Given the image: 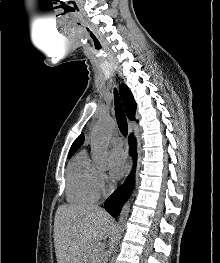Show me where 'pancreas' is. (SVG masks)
Segmentation results:
<instances>
[{
  "label": "pancreas",
  "instance_id": "cf45deb5",
  "mask_svg": "<svg viewBox=\"0 0 220 263\" xmlns=\"http://www.w3.org/2000/svg\"><path fill=\"white\" fill-rule=\"evenodd\" d=\"M92 255H93L94 263H100L101 250L93 251Z\"/></svg>",
  "mask_w": 220,
  "mask_h": 263
}]
</instances>
